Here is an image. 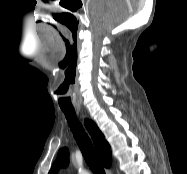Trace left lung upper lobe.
<instances>
[{
  "label": "left lung upper lobe",
  "mask_w": 187,
  "mask_h": 174,
  "mask_svg": "<svg viewBox=\"0 0 187 174\" xmlns=\"http://www.w3.org/2000/svg\"><path fill=\"white\" fill-rule=\"evenodd\" d=\"M69 163V152L67 148H63L58 152L57 161L53 164L49 174H56L59 167H66Z\"/></svg>",
  "instance_id": "obj_1"
}]
</instances>
